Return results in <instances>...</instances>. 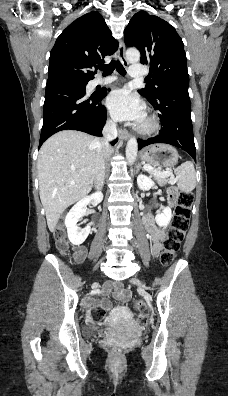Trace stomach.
<instances>
[{"label":"stomach","instance_id":"obj_1","mask_svg":"<svg viewBox=\"0 0 228 396\" xmlns=\"http://www.w3.org/2000/svg\"><path fill=\"white\" fill-rule=\"evenodd\" d=\"M141 159L154 167H174L178 163L177 150L168 144H154L141 150Z\"/></svg>","mask_w":228,"mask_h":396}]
</instances>
